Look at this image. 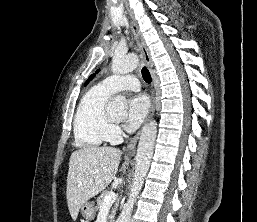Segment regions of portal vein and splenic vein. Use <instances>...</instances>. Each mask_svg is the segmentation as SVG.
<instances>
[{
	"instance_id": "18ae733b",
	"label": "portal vein and splenic vein",
	"mask_w": 257,
	"mask_h": 222,
	"mask_svg": "<svg viewBox=\"0 0 257 222\" xmlns=\"http://www.w3.org/2000/svg\"><path fill=\"white\" fill-rule=\"evenodd\" d=\"M116 197L117 196L115 194H110V195L106 196L104 198V202L101 206V209L110 207L115 202Z\"/></svg>"
}]
</instances>
